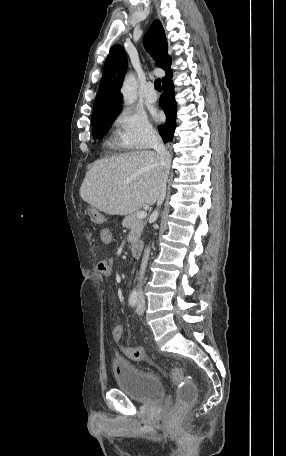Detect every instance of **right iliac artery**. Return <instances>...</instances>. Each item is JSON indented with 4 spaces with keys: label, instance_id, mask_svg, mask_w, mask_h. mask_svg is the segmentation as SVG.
I'll use <instances>...</instances> for the list:
<instances>
[{
    "label": "right iliac artery",
    "instance_id": "1",
    "mask_svg": "<svg viewBox=\"0 0 286 456\" xmlns=\"http://www.w3.org/2000/svg\"><path fill=\"white\" fill-rule=\"evenodd\" d=\"M138 301V292L136 290L132 291L130 296H129V304L132 307H135Z\"/></svg>",
    "mask_w": 286,
    "mask_h": 456
}]
</instances>
